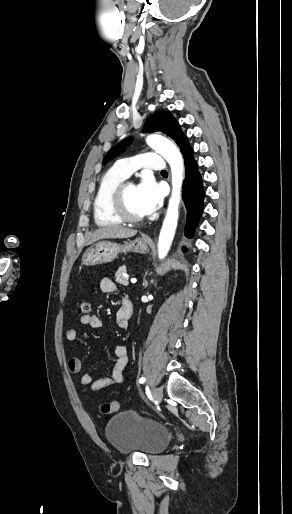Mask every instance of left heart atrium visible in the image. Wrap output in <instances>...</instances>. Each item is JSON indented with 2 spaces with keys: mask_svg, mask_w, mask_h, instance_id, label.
Returning a JSON list of instances; mask_svg holds the SVG:
<instances>
[{
  "mask_svg": "<svg viewBox=\"0 0 292 514\" xmlns=\"http://www.w3.org/2000/svg\"><path fill=\"white\" fill-rule=\"evenodd\" d=\"M136 192L145 213H152L160 206L162 191L152 174L141 177Z\"/></svg>",
  "mask_w": 292,
  "mask_h": 514,
  "instance_id": "39dd6f15",
  "label": "left heart atrium"
}]
</instances>
